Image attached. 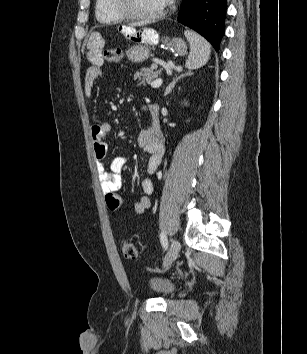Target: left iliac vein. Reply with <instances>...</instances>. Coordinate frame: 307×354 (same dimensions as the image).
Instances as JSON below:
<instances>
[{"label": "left iliac vein", "instance_id": "1", "mask_svg": "<svg viewBox=\"0 0 307 354\" xmlns=\"http://www.w3.org/2000/svg\"><path fill=\"white\" fill-rule=\"evenodd\" d=\"M180 248L181 245L179 241L174 239L164 260V267L168 268L175 261L179 254Z\"/></svg>", "mask_w": 307, "mask_h": 354}]
</instances>
